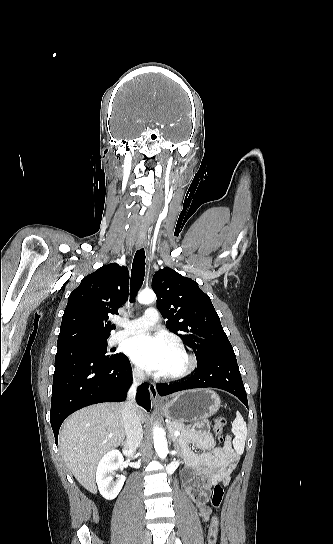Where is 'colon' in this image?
<instances>
[{
  "mask_svg": "<svg viewBox=\"0 0 333 544\" xmlns=\"http://www.w3.org/2000/svg\"><path fill=\"white\" fill-rule=\"evenodd\" d=\"M227 424V416H219L214 424V433L219 443L223 442V430ZM224 496V488L221 484L214 486L212 495H211V506L213 509L217 510L220 508ZM219 531V519L216 515L211 518L210 524L208 526L207 533V544H216Z\"/></svg>",
  "mask_w": 333,
  "mask_h": 544,
  "instance_id": "1",
  "label": "colon"
}]
</instances>
